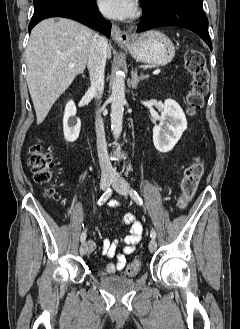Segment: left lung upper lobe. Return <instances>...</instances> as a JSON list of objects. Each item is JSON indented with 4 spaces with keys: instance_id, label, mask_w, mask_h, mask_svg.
Wrapping results in <instances>:
<instances>
[{
    "instance_id": "1",
    "label": "left lung upper lobe",
    "mask_w": 240,
    "mask_h": 329,
    "mask_svg": "<svg viewBox=\"0 0 240 329\" xmlns=\"http://www.w3.org/2000/svg\"><path fill=\"white\" fill-rule=\"evenodd\" d=\"M145 1H152V2H154V1H160V0H145Z\"/></svg>"
}]
</instances>
